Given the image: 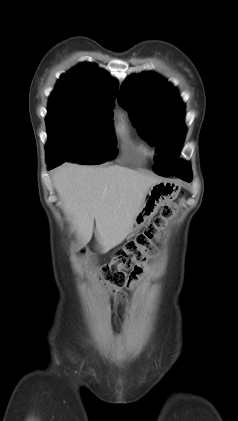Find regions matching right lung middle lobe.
Here are the masks:
<instances>
[{
	"label": "right lung middle lobe",
	"mask_w": 238,
	"mask_h": 421,
	"mask_svg": "<svg viewBox=\"0 0 238 421\" xmlns=\"http://www.w3.org/2000/svg\"><path fill=\"white\" fill-rule=\"evenodd\" d=\"M80 98L50 96L46 126L47 161L101 164L117 155L112 109Z\"/></svg>",
	"instance_id": "right-lung-middle-lobe-1"
}]
</instances>
